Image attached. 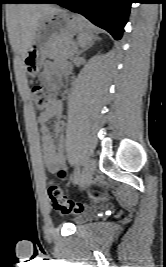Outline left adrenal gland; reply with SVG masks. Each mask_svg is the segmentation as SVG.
Instances as JSON below:
<instances>
[{
	"mask_svg": "<svg viewBox=\"0 0 166 267\" xmlns=\"http://www.w3.org/2000/svg\"><path fill=\"white\" fill-rule=\"evenodd\" d=\"M89 47H91V45H89L88 47H86V48H84V49L78 51V52H77V55H80L81 53H83L84 51H86Z\"/></svg>",
	"mask_w": 166,
	"mask_h": 267,
	"instance_id": "a2214340",
	"label": "left adrenal gland"
}]
</instances>
